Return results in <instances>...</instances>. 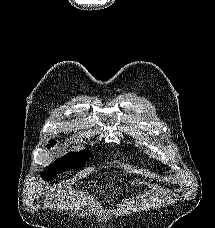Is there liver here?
I'll return each instance as SVG.
<instances>
[{
	"label": "liver",
	"mask_w": 215,
	"mask_h": 228,
	"mask_svg": "<svg viewBox=\"0 0 215 228\" xmlns=\"http://www.w3.org/2000/svg\"><path fill=\"white\" fill-rule=\"evenodd\" d=\"M134 184H145V182H139V180H135V182H133V186Z\"/></svg>",
	"instance_id": "1"
}]
</instances>
